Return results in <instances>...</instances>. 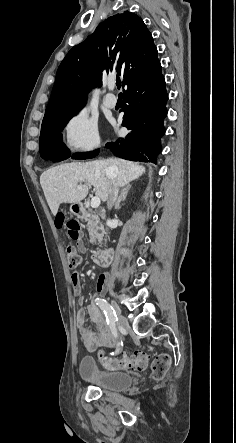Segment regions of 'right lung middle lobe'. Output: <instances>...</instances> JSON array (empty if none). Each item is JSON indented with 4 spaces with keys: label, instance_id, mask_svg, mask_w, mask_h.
<instances>
[{
    "label": "right lung middle lobe",
    "instance_id": "dd1d6c3e",
    "mask_svg": "<svg viewBox=\"0 0 236 443\" xmlns=\"http://www.w3.org/2000/svg\"><path fill=\"white\" fill-rule=\"evenodd\" d=\"M80 109L64 112L43 120L40 134V151L48 147L63 145L61 131Z\"/></svg>",
    "mask_w": 236,
    "mask_h": 443
}]
</instances>
